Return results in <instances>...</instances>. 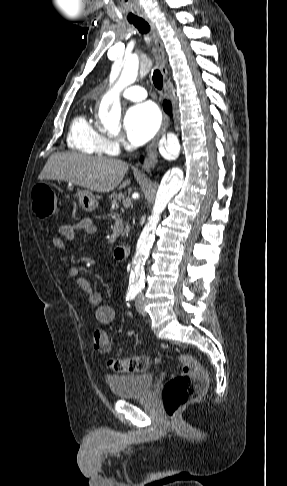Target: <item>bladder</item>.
Segmentation results:
<instances>
[{
  "label": "bladder",
  "instance_id": "31cf9c89",
  "mask_svg": "<svg viewBox=\"0 0 287 486\" xmlns=\"http://www.w3.org/2000/svg\"><path fill=\"white\" fill-rule=\"evenodd\" d=\"M155 377L150 373L110 375L106 377V383L119 399H129L148 394L154 384Z\"/></svg>",
  "mask_w": 287,
  "mask_h": 486
}]
</instances>
